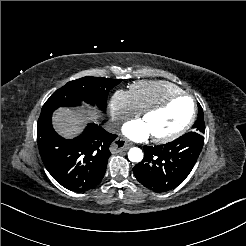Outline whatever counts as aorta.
<instances>
[{"label":"aorta","mask_w":246,"mask_h":246,"mask_svg":"<svg viewBox=\"0 0 246 246\" xmlns=\"http://www.w3.org/2000/svg\"><path fill=\"white\" fill-rule=\"evenodd\" d=\"M128 158L131 162L139 163L143 159V152L140 148L133 147L128 152Z\"/></svg>","instance_id":"762f6f07"}]
</instances>
